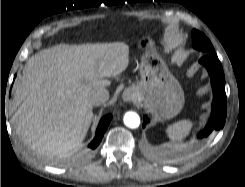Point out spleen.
<instances>
[{
	"label": "spleen",
	"instance_id": "obj_1",
	"mask_svg": "<svg viewBox=\"0 0 245 187\" xmlns=\"http://www.w3.org/2000/svg\"><path fill=\"white\" fill-rule=\"evenodd\" d=\"M192 127L193 123L190 120H180L169 125L166 132L173 143H178L189 135Z\"/></svg>",
	"mask_w": 245,
	"mask_h": 187
}]
</instances>
